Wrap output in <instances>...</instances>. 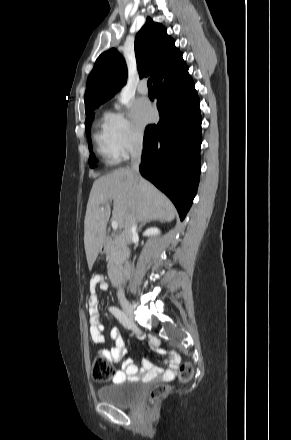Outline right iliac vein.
Masks as SVG:
<instances>
[{"label":"right iliac vein","mask_w":291,"mask_h":440,"mask_svg":"<svg viewBox=\"0 0 291 440\" xmlns=\"http://www.w3.org/2000/svg\"><path fill=\"white\" fill-rule=\"evenodd\" d=\"M121 307L123 309V311L125 312V314L129 317V318H133V313H134V308L131 305V303L127 300H123L121 301Z\"/></svg>","instance_id":"63e3f726"}]
</instances>
